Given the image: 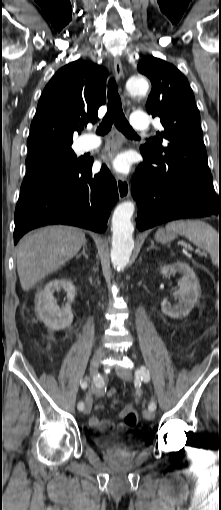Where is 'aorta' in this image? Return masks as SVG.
Returning <instances> with one entry per match:
<instances>
[{
  "instance_id": "aorta-1",
  "label": "aorta",
  "mask_w": 221,
  "mask_h": 510,
  "mask_svg": "<svg viewBox=\"0 0 221 510\" xmlns=\"http://www.w3.org/2000/svg\"><path fill=\"white\" fill-rule=\"evenodd\" d=\"M149 84L141 75L130 77L126 82V89L130 95L136 96L148 91ZM135 206L131 201L120 203L112 216V249L111 261L118 269H124L134 248L133 231L131 222Z\"/></svg>"
}]
</instances>
